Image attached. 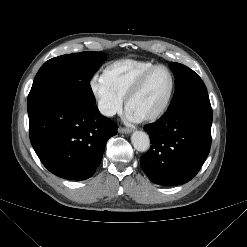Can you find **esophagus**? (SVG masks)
<instances>
[{
	"label": "esophagus",
	"instance_id": "obj_1",
	"mask_svg": "<svg viewBox=\"0 0 247 247\" xmlns=\"http://www.w3.org/2000/svg\"><path fill=\"white\" fill-rule=\"evenodd\" d=\"M132 130H133L132 128H125V127L119 128V132L124 134H129L132 132Z\"/></svg>",
	"mask_w": 247,
	"mask_h": 247
}]
</instances>
